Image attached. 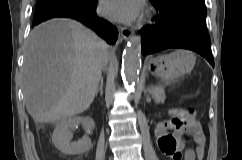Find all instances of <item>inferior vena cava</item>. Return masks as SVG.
Segmentation results:
<instances>
[{
  "instance_id": "1",
  "label": "inferior vena cava",
  "mask_w": 242,
  "mask_h": 160,
  "mask_svg": "<svg viewBox=\"0 0 242 160\" xmlns=\"http://www.w3.org/2000/svg\"><path fill=\"white\" fill-rule=\"evenodd\" d=\"M111 56L112 57H115L116 56V53L115 52H112L111 53ZM101 73H116V68H101Z\"/></svg>"
}]
</instances>
